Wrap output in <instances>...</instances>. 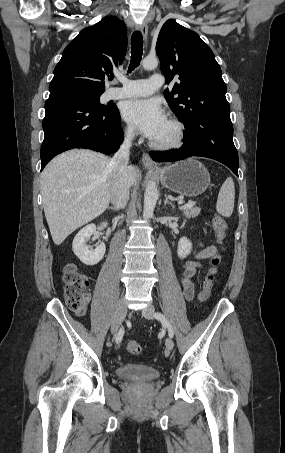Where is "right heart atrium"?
Wrapping results in <instances>:
<instances>
[{
  "label": "right heart atrium",
  "instance_id": "d8ad5b80",
  "mask_svg": "<svg viewBox=\"0 0 285 453\" xmlns=\"http://www.w3.org/2000/svg\"><path fill=\"white\" fill-rule=\"evenodd\" d=\"M124 135L127 140H132L135 136L134 129L131 126H127L124 129Z\"/></svg>",
  "mask_w": 285,
  "mask_h": 453
}]
</instances>
